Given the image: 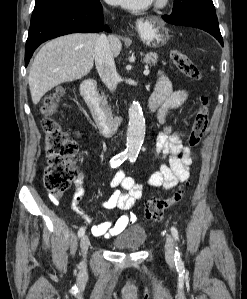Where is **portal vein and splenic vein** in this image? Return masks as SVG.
<instances>
[{
    "label": "portal vein and splenic vein",
    "mask_w": 247,
    "mask_h": 299,
    "mask_svg": "<svg viewBox=\"0 0 247 299\" xmlns=\"http://www.w3.org/2000/svg\"><path fill=\"white\" fill-rule=\"evenodd\" d=\"M149 72H150V71H149L148 67L146 66V67H145V70H144V75H148Z\"/></svg>",
    "instance_id": "18ae733b"
}]
</instances>
